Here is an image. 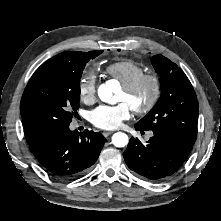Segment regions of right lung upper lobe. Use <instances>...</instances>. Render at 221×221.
I'll use <instances>...</instances> for the list:
<instances>
[{"instance_id": "right-lung-upper-lobe-1", "label": "right lung upper lobe", "mask_w": 221, "mask_h": 221, "mask_svg": "<svg viewBox=\"0 0 221 221\" xmlns=\"http://www.w3.org/2000/svg\"><path fill=\"white\" fill-rule=\"evenodd\" d=\"M77 52L76 51H68L60 53L53 58L46 61L42 64L36 71L40 70L42 67L45 66H65L68 64H72ZM23 125H24V134L26 141L31 143L32 141L39 138L41 135L44 134L41 130L35 127L33 124L29 123L26 118L22 117Z\"/></svg>"}]
</instances>
